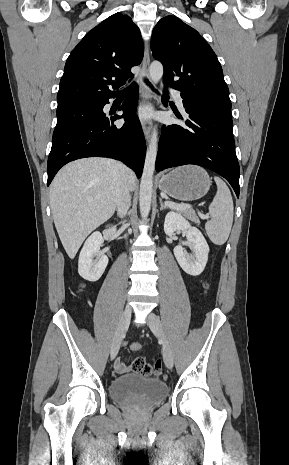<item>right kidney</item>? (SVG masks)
I'll return each instance as SVG.
<instances>
[{"label":"right kidney","instance_id":"1","mask_svg":"<svg viewBox=\"0 0 289 465\" xmlns=\"http://www.w3.org/2000/svg\"><path fill=\"white\" fill-rule=\"evenodd\" d=\"M103 242L102 234L96 231L89 236L80 252L78 272L87 281H98L107 267L108 257L100 252Z\"/></svg>","mask_w":289,"mask_h":465}]
</instances>
